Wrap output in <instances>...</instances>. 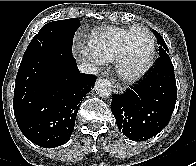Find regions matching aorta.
<instances>
[{"instance_id": "aorta-1", "label": "aorta", "mask_w": 196, "mask_h": 166, "mask_svg": "<svg viewBox=\"0 0 196 166\" xmlns=\"http://www.w3.org/2000/svg\"><path fill=\"white\" fill-rule=\"evenodd\" d=\"M94 89L101 97H108L112 93L111 83L107 79H98L95 83Z\"/></svg>"}]
</instances>
